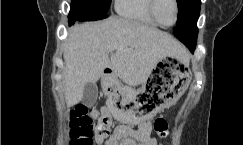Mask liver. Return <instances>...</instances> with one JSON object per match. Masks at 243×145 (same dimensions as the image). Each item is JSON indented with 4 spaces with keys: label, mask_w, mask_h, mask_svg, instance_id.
<instances>
[{
    "label": "liver",
    "mask_w": 243,
    "mask_h": 145,
    "mask_svg": "<svg viewBox=\"0 0 243 145\" xmlns=\"http://www.w3.org/2000/svg\"><path fill=\"white\" fill-rule=\"evenodd\" d=\"M63 51L68 106L79 103L86 83L98 81L106 68L127 85L137 86L160 60H187L186 49L170 34L120 17L74 25Z\"/></svg>",
    "instance_id": "1"
}]
</instances>
